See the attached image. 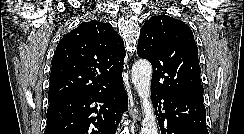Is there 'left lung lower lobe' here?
<instances>
[{
  "label": "left lung lower lobe",
  "mask_w": 244,
  "mask_h": 134,
  "mask_svg": "<svg viewBox=\"0 0 244 134\" xmlns=\"http://www.w3.org/2000/svg\"><path fill=\"white\" fill-rule=\"evenodd\" d=\"M151 89L155 108L165 110L158 116L162 134H209L203 101Z\"/></svg>",
  "instance_id": "left-lung-lower-lobe-1"
}]
</instances>
